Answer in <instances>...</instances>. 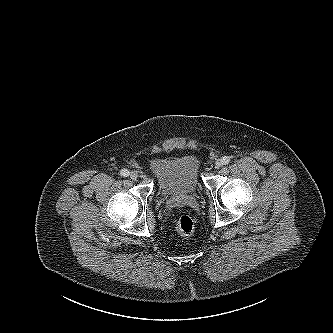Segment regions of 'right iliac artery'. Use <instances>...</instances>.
Masks as SVG:
<instances>
[{
    "label": "right iliac artery",
    "mask_w": 333,
    "mask_h": 333,
    "mask_svg": "<svg viewBox=\"0 0 333 333\" xmlns=\"http://www.w3.org/2000/svg\"><path fill=\"white\" fill-rule=\"evenodd\" d=\"M120 174H121L122 176H124V177H127V176L129 175V171H128L127 169H122V170L120 171Z\"/></svg>",
    "instance_id": "right-iliac-artery-1"
}]
</instances>
